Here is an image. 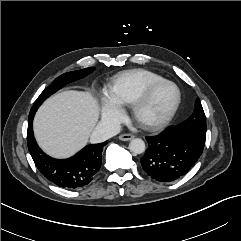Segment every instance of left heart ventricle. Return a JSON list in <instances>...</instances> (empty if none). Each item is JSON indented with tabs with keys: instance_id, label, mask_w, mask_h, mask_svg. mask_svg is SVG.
Masks as SVG:
<instances>
[{
	"instance_id": "left-heart-ventricle-1",
	"label": "left heart ventricle",
	"mask_w": 241,
	"mask_h": 241,
	"mask_svg": "<svg viewBox=\"0 0 241 241\" xmlns=\"http://www.w3.org/2000/svg\"><path fill=\"white\" fill-rule=\"evenodd\" d=\"M177 97L174 86L166 84L158 88L144 106L141 116L147 121H158L165 117Z\"/></svg>"
}]
</instances>
